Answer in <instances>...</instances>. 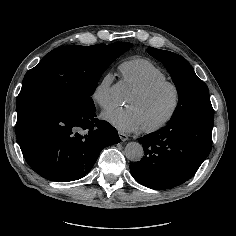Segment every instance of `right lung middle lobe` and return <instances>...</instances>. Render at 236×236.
Listing matches in <instances>:
<instances>
[{
  "mask_svg": "<svg viewBox=\"0 0 236 236\" xmlns=\"http://www.w3.org/2000/svg\"><path fill=\"white\" fill-rule=\"evenodd\" d=\"M131 47L119 42L52 50L26 73L16 103L17 119L46 106L93 107L91 95L100 77Z\"/></svg>",
  "mask_w": 236,
  "mask_h": 236,
  "instance_id": "dd1d6c3e",
  "label": "right lung middle lobe"
}]
</instances>
